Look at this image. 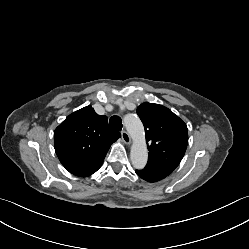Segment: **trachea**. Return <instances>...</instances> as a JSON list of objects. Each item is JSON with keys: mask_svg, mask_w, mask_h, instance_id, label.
<instances>
[{"mask_svg": "<svg viewBox=\"0 0 249 249\" xmlns=\"http://www.w3.org/2000/svg\"><path fill=\"white\" fill-rule=\"evenodd\" d=\"M109 124L115 130L121 131L122 130V120L119 116H112L109 120Z\"/></svg>", "mask_w": 249, "mask_h": 249, "instance_id": "1", "label": "trachea"}]
</instances>
